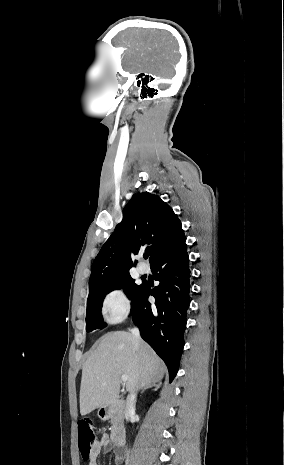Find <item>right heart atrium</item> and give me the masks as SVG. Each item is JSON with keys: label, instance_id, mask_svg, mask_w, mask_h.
Segmentation results:
<instances>
[{"label": "right heart atrium", "instance_id": "obj_1", "mask_svg": "<svg viewBox=\"0 0 284 465\" xmlns=\"http://www.w3.org/2000/svg\"><path fill=\"white\" fill-rule=\"evenodd\" d=\"M100 308L104 317L114 324L125 321L133 311L130 296L122 288L107 292L101 300Z\"/></svg>", "mask_w": 284, "mask_h": 465}]
</instances>
